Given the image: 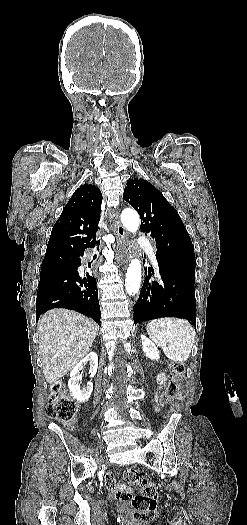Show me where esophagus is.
<instances>
[{
  "mask_svg": "<svg viewBox=\"0 0 247 525\" xmlns=\"http://www.w3.org/2000/svg\"><path fill=\"white\" fill-rule=\"evenodd\" d=\"M115 218H117L116 214ZM112 226H114L118 234L117 249L119 251L120 259L123 261V266H128V261L131 257V248L125 238L124 228L117 223L116 220L113 221ZM129 267H132V264H129Z\"/></svg>",
  "mask_w": 247,
  "mask_h": 525,
  "instance_id": "34e87169",
  "label": "esophagus"
}]
</instances>
